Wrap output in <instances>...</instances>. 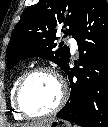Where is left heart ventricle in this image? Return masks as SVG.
Segmentation results:
<instances>
[{
  "instance_id": "b2bd125f",
  "label": "left heart ventricle",
  "mask_w": 108,
  "mask_h": 127,
  "mask_svg": "<svg viewBox=\"0 0 108 127\" xmlns=\"http://www.w3.org/2000/svg\"><path fill=\"white\" fill-rule=\"evenodd\" d=\"M60 86L48 73H38L26 83L22 92L23 107L30 113L43 114L50 111L58 102Z\"/></svg>"
}]
</instances>
